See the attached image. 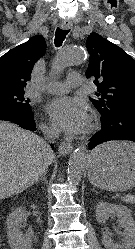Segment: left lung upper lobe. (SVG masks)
Returning <instances> with one entry per match:
<instances>
[{"mask_svg":"<svg viewBox=\"0 0 135 249\" xmlns=\"http://www.w3.org/2000/svg\"><path fill=\"white\" fill-rule=\"evenodd\" d=\"M90 54L87 78H94L97 91L90 98L102 116L122 105L135 106V60L123 49L91 33L86 41Z\"/></svg>","mask_w":135,"mask_h":249,"instance_id":"left-lung-upper-lobe-1","label":"left lung upper lobe"}]
</instances>
